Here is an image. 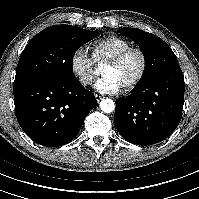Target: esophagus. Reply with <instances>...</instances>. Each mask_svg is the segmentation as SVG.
<instances>
[{"instance_id":"obj_1","label":"esophagus","mask_w":199,"mask_h":199,"mask_svg":"<svg viewBox=\"0 0 199 199\" xmlns=\"http://www.w3.org/2000/svg\"><path fill=\"white\" fill-rule=\"evenodd\" d=\"M96 101L99 102L103 99V96L95 94Z\"/></svg>"}]
</instances>
